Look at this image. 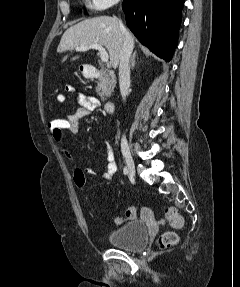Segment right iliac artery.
<instances>
[{
    "label": "right iliac artery",
    "instance_id": "82829eb1",
    "mask_svg": "<svg viewBox=\"0 0 240 287\" xmlns=\"http://www.w3.org/2000/svg\"><path fill=\"white\" fill-rule=\"evenodd\" d=\"M123 172H124L125 175H127V174H128V169L125 167V168L123 169Z\"/></svg>",
    "mask_w": 240,
    "mask_h": 287
}]
</instances>
